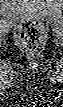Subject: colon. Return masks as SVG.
<instances>
[{"label": "colon", "mask_w": 63, "mask_h": 107, "mask_svg": "<svg viewBox=\"0 0 63 107\" xmlns=\"http://www.w3.org/2000/svg\"><path fill=\"white\" fill-rule=\"evenodd\" d=\"M44 37V26L39 21H32L23 24L17 33L19 44L30 51H34L43 41Z\"/></svg>", "instance_id": "obj_1"}]
</instances>
